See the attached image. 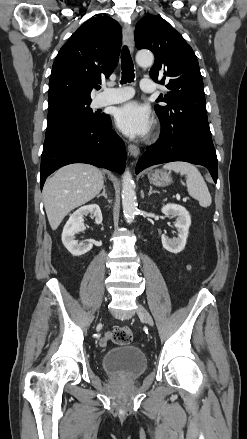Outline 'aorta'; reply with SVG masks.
Instances as JSON below:
<instances>
[{"instance_id": "obj_1", "label": "aorta", "mask_w": 247, "mask_h": 439, "mask_svg": "<svg viewBox=\"0 0 247 439\" xmlns=\"http://www.w3.org/2000/svg\"><path fill=\"white\" fill-rule=\"evenodd\" d=\"M136 61L141 66H149L154 61L151 52H139L136 55ZM135 184L129 171H125L122 177V206L127 223H132L137 211V201L135 193Z\"/></svg>"}]
</instances>
